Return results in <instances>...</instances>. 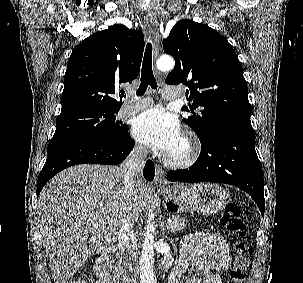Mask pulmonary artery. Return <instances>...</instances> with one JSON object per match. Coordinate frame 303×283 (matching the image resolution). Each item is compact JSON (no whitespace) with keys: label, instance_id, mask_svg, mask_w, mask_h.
Instances as JSON below:
<instances>
[{"label":"pulmonary artery","instance_id":"e3ab8cb5","mask_svg":"<svg viewBox=\"0 0 303 283\" xmlns=\"http://www.w3.org/2000/svg\"><path fill=\"white\" fill-rule=\"evenodd\" d=\"M181 95V89L174 86H165L162 94L163 98L166 100H174L179 98ZM152 102V99L149 97L136 98V96L132 92H129L128 101L119 110V116L127 117L130 115H134L139 111L152 105Z\"/></svg>","mask_w":303,"mask_h":283}]
</instances>
